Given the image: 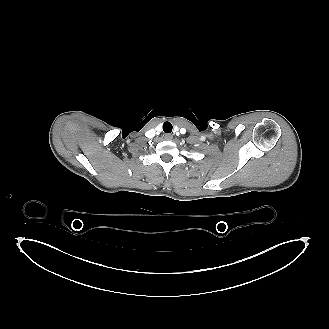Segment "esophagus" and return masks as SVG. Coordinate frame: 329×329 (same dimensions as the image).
<instances>
[{
	"instance_id": "obj_1",
	"label": "esophagus",
	"mask_w": 329,
	"mask_h": 329,
	"mask_svg": "<svg viewBox=\"0 0 329 329\" xmlns=\"http://www.w3.org/2000/svg\"><path fill=\"white\" fill-rule=\"evenodd\" d=\"M164 138L166 140H171L172 139V135L171 134H165Z\"/></svg>"
}]
</instances>
